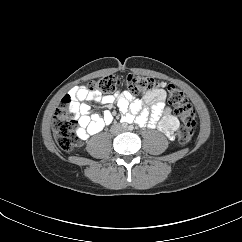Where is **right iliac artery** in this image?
I'll return each instance as SVG.
<instances>
[{"label": "right iliac artery", "mask_w": 242, "mask_h": 242, "mask_svg": "<svg viewBox=\"0 0 242 242\" xmlns=\"http://www.w3.org/2000/svg\"><path fill=\"white\" fill-rule=\"evenodd\" d=\"M121 122H124V120L122 119ZM127 124H123L124 127H126Z\"/></svg>", "instance_id": "1"}]
</instances>
